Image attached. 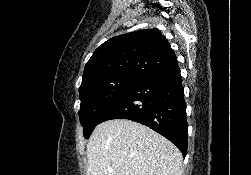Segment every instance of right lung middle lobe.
<instances>
[{
	"label": "right lung middle lobe",
	"instance_id": "obj_1",
	"mask_svg": "<svg viewBox=\"0 0 251 175\" xmlns=\"http://www.w3.org/2000/svg\"><path fill=\"white\" fill-rule=\"evenodd\" d=\"M141 79L118 76L105 82L88 84L79 89L81 106L79 111L83 133L89 138L102 114Z\"/></svg>",
	"mask_w": 251,
	"mask_h": 175
}]
</instances>
